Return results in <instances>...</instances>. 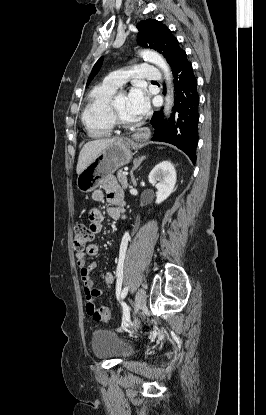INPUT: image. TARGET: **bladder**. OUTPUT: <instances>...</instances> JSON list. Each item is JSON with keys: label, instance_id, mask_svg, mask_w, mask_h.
I'll return each mask as SVG.
<instances>
[{"label": "bladder", "instance_id": "obj_1", "mask_svg": "<svg viewBox=\"0 0 266 415\" xmlns=\"http://www.w3.org/2000/svg\"><path fill=\"white\" fill-rule=\"evenodd\" d=\"M91 349L98 359H128L134 354L131 344L123 340L116 332L107 329L94 331Z\"/></svg>", "mask_w": 266, "mask_h": 415}]
</instances>
